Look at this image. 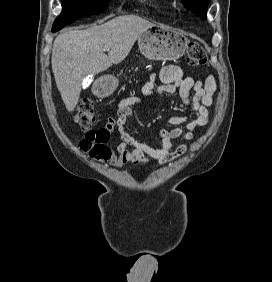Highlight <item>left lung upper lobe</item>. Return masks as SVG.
<instances>
[{"mask_svg": "<svg viewBox=\"0 0 272 282\" xmlns=\"http://www.w3.org/2000/svg\"><path fill=\"white\" fill-rule=\"evenodd\" d=\"M187 10H191L194 14L202 19H206L207 6L210 0H181Z\"/></svg>", "mask_w": 272, "mask_h": 282, "instance_id": "obj_1", "label": "left lung upper lobe"}]
</instances>
